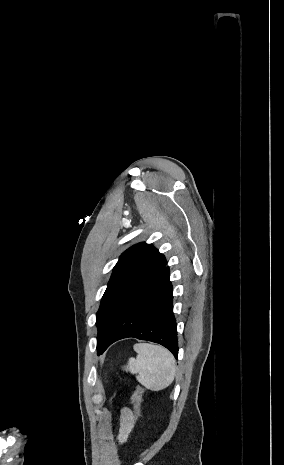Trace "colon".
Wrapping results in <instances>:
<instances>
[{
	"instance_id": "colon-1",
	"label": "colon",
	"mask_w": 284,
	"mask_h": 465,
	"mask_svg": "<svg viewBox=\"0 0 284 465\" xmlns=\"http://www.w3.org/2000/svg\"><path fill=\"white\" fill-rule=\"evenodd\" d=\"M142 401H143V390L140 387H137L132 396V404L139 416L142 413ZM124 449L128 450L129 446L125 445Z\"/></svg>"
}]
</instances>
